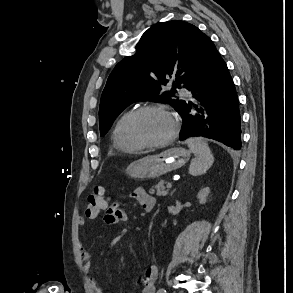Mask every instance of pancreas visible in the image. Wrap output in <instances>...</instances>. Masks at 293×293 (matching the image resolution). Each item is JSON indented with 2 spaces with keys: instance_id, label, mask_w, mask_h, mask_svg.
<instances>
[{
  "instance_id": "cf45deb5",
  "label": "pancreas",
  "mask_w": 293,
  "mask_h": 293,
  "mask_svg": "<svg viewBox=\"0 0 293 293\" xmlns=\"http://www.w3.org/2000/svg\"><path fill=\"white\" fill-rule=\"evenodd\" d=\"M156 192L157 196H166L168 194L167 181H160L158 184L154 185L149 193L154 194Z\"/></svg>"
}]
</instances>
